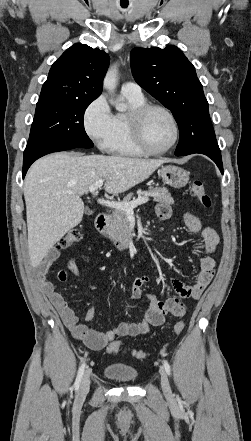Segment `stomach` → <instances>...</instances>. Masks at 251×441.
I'll return each mask as SVG.
<instances>
[{
  "instance_id": "1",
  "label": "stomach",
  "mask_w": 251,
  "mask_h": 441,
  "mask_svg": "<svg viewBox=\"0 0 251 441\" xmlns=\"http://www.w3.org/2000/svg\"><path fill=\"white\" fill-rule=\"evenodd\" d=\"M159 173L165 184L176 189L186 186L189 181V173L175 165L164 166Z\"/></svg>"
}]
</instances>
